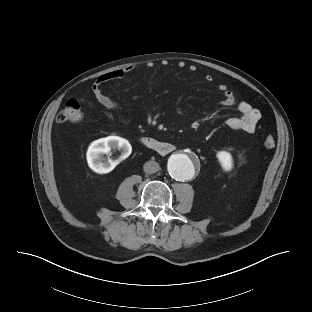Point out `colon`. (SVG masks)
<instances>
[{"label": "colon", "instance_id": "5ec220e1", "mask_svg": "<svg viewBox=\"0 0 312 312\" xmlns=\"http://www.w3.org/2000/svg\"><path fill=\"white\" fill-rule=\"evenodd\" d=\"M81 104L77 99H70L66 102L64 108L58 113L57 121L59 123H78L82 119ZM263 144L266 148L271 149L275 146V138L267 135Z\"/></svg>", "mask_w": 312, "mask_h": 312}]
</instances>
